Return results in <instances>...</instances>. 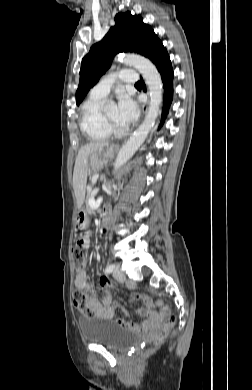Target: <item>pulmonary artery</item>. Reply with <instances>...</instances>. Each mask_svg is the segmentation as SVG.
I'll return each instance as SVG.
<instances>
[{"label": "pulmonary artery", "instance_id": "1", "mask_svg": "<svg viewBox=\"0 0 252 390\" xmlns=\"http://www.w3.org/2000/svg\"><path fill=\"white\" fill-rule=\"evenodd\" d=\"M138 74L133 70L122 69L116 73L105 76L99 83H97L90 92V95L98 98H105L110 92L111 87L117 81L136 82Z\"/></svg>", "mask_w": 252, "mask_h": 390}]
</instances>
